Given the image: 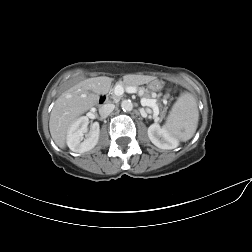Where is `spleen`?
Wrapping results in <instances>:
<instances>
[{
  "instance_id": "3e777b00",
  "label": "spleen",
  "mask_w": 252,
  "mask_h": 252,
  "mask_svg": "<svg viewBox=\"0 0 252 252\" xmlns=\"http://www.w3.org/2000/svg\"><path fill=\"white\" fill-rule=\"evenodd\" d=\"M199 112L194 96L188 92L181 94L166 120V128L181 141H187L196 132Z\"/></svg>"
}]
</instances>
